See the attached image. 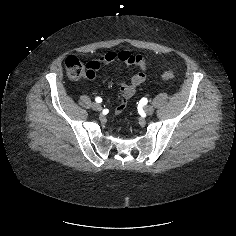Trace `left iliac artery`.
Returning a JSON list of instances; mask_svg holds the SVG:
<instances>
[{"label":"left iliac artery","instance_id":"1","mask_svg":"<svg viewBox=\"0 0 236 236\" xmlns=\"http://www.w3.org/2000/svg\"><path fill=\"white\" fill-rule=\"evenodd\" d=\"M142 102H147V99H146V98H143V99H142Z\"/></svg>","mask_w":236,"mask_h":236}]
</instances>
